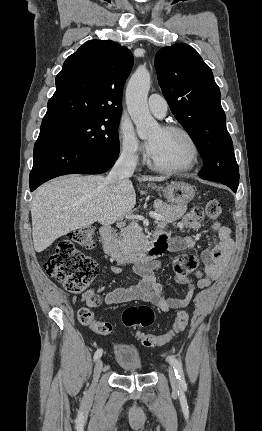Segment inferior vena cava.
<instances>
[{
  "mask_svg": "<svg viewBox=\"0 0 262 431\" xmlns=\"http://www.w3.org/2000/svg\"><path fill=\"white\" fill-rule=\"evenodd\" d=\"M138 156L130 149H124L106 177V183L116 186L118 183L133 175Z\"/></svg>",
  "mask_w": 262,
  "mask_h": 431,
  "instance_id": "obj_1",
  "label": "inferior vena cava"
}]
</instances>
